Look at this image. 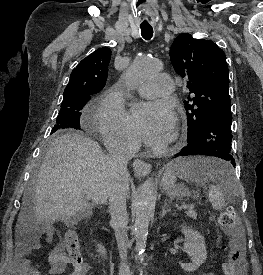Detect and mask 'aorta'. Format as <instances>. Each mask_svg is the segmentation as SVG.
<instances>
[{
    "mask_svg": "<svg viewBox=\"0 0 263 275\" xmlns=\"http://www.w3.org/2000/svg\"><path fill=\"white\" fill-rule=\"evenodd\" d=\"M162 63L150 57H138L124 74V81L128 89L138 88L147 78L157 73ZM155 205L154 184L147 180L140 191L136 208L134 234L136 251L141 256L146 249L148 227Z\"/></svg>",
    "mask_w": 263,
    "mask_h": 275,
    "instance_id": "aorta-1",
    "label": "aorta"
}]
</instances>
